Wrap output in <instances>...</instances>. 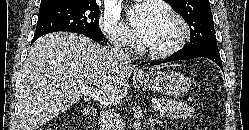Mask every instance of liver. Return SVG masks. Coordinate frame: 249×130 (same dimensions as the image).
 <instances>
[{
    "label": "liver",
    "mask_w": 249,
    "mask_h": 130,
    "mask_svg": "<svg viewBox=\"0 0 249 130\" xmlns=\"http://www.w3.org/2000/svg\"><path fill=\"white\" fill-rule=\"evenodd\" d=\"M133 70L131 63H118L110 50L83 35L56 32L40 37L22 69L20 130H37L78 104L80 86L100 91L105 104H118L128 94Z\"/></svg>",
    "instance_id": "obj_1"
}]
</instances>
